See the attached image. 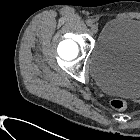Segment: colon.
I'll return each instance as SVG.
<instances>
[{
	"instance_id": "5ec220e1",
	"label": "colon",
	"mask_w": 140,
	"mask_h": 140,
	"mask_svg": "<svg viewBox=\"0 0 140 140\" xmlns=\"http://www.w3.org/2000/svg\"><path fill=\"white\" fill-rule=\"evenodd\" d=\"M110 106L115 110L123 111L127 107V102L122 98L116 97L111 99Z\"/></svg>"
}]
</instances>
